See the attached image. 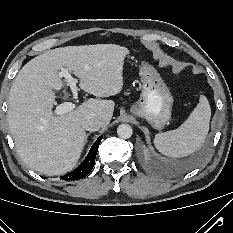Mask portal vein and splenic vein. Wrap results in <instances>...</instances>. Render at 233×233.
Returning a JSON list of instances; mask_svg holds the SVG:
<instances>
[{
  "label": "portal vein and splenic vein",
  "mask_w": 233,
  "mask_h": 233,
  "mask_svg": "<svg viewBox=\"0 0 233 233\" xmlns=\"http://www.w3.org/2000/svg\"><path fill=\"white\" fill-rule=\"evenodd\" d=\"M60 75L61 77H64L68 83V86H70L71 90H72V93H73V96L75 99H77V87H76V84L78 83V80L73 78L67 69H61V72H60ZM75 104L74 103H71V102H64L58 106H56L55 108V113L57 115H62V114H65L67 112H70L72 111L73 109H75Z\"/></svg>",
  "instance_id": "obj_1"
}]
</instances>
